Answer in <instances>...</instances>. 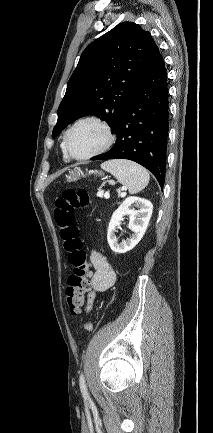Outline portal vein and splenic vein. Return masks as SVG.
Returning <instances> with one entry per match:
<instances>
[{
	"label": "portal vein and splenic vein",
	"mask_w": 213,
	"mask_h": 433,
	"mask_svg": "<svg viewBox=\"0 0 213 433\" xmlns=\"http://www.w3.org/2000/svg\"><path fill=\"white\" fill-rule=\"evenodd\" d=\"M104 197H105L106 199H108V198L110 197L109 192H106L105 195H104Z\"/></svg>",
	"instance_id": "obj_1"
}]
</instances>
